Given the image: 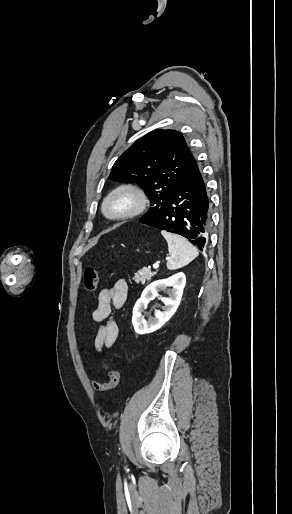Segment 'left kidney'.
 <instances>
[{"label": "left kidney", "instance_id": "1", "mask_svg": "<svg viewBox=\"0 0 292 514\" xmlns=\"http://www.w3.org/2000/svg\"><path fill=\"white\" fill-rule=\"evenodd\" d=\"M185 284L186 276L183 272H179V274H175V276H171L167 280H156V282H152L143 290L141 298L137 300L132 312V324L136 334H152V332L162 328L172 318L180 304ZM168 286L173 288V290H167L169 298H159L165 304L163 312L156 310L154 318H149L147 322L142 316L146 304H149L150 300L158 296L160 290H166Z\"/></svg>", "mask_w": 292, "mask_h": 514}]
</instances>
